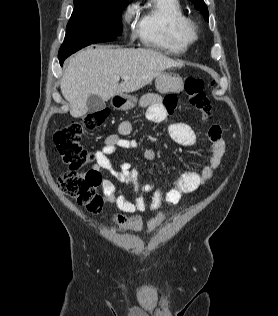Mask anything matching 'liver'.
Instances as JSON below:
<instances>
[{
  "label": "liver",
  "instance_id": "liver-1",
  "mask_svg": "<svg viewBox=\"0 0 278 316\" xmlns=\"http://www.w3.org/2000/svg\"><path fill=\"white\" fill-rule=\"evenodd\" d=\"M182 64L152 49H112L98 46L78 52L70 59L60 89L70 103V114L84 116L88 112L90 94L103 101L123 93L137 91L162 71ZM121 76H128L119 84Z\"/></svg>",
  "mask_w": 278,
  "mask_h": 316
}]
</instances>
